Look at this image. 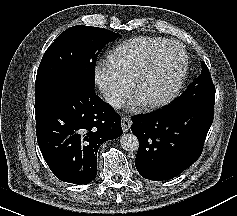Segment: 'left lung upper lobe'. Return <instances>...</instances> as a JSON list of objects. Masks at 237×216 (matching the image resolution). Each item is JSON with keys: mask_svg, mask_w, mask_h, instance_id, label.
Returning a JSON list of instances; mask_svg holds the SVG:
<instances>
[{"mask_svg": "<svg viewBox=\"0 0 237 216\" xmlns=\"http://www.w3.org/2000/svg\"><path fill=\"white\" fill-rule=\"evenodd\" d=\"M215 87L204 62L199 77L172 103L184 104L205 112L214 113Z\"/></svg>", "mask_w": 237, "mask_h": 216, "instance_id": "left-lung-upper-lobe-1", "label": "left lung upper lobe"}]
</instances>
